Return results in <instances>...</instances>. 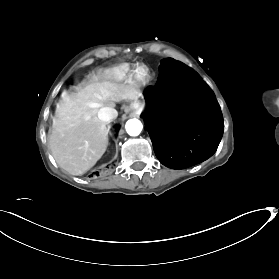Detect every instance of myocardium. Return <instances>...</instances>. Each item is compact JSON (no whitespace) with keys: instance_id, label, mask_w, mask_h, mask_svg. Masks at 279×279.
<instances>
[{"instance_id":"myocardium-1","label":"myocardium","mask_w":279,"mask_h":279,"mask_svg":"<svg viewBox=\"0 0 279 279\" xmlns=\"http://www.w3.org/2000/svg\"><path fill=\"white\" fill-rule=\"evenodd\" d=\"M132 75L136 81L143 83L150 76L149 67L143 63L136 64L133 68Z\"/></svg>"}]
</instances>
